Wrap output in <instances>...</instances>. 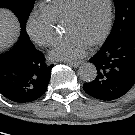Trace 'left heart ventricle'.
I'll return each instance as SVG.
<instances>
[{"instance_id":"obj_1","label":"left heart ventricle","mask_w":135,"mask_h":135,"mask_svg":"<svg viewBox=\"0 0 135 135\" xmlns=\"http://www.w3.org/2000/svg\"><path fill=\"white\" fill-rule=\"evenodd\" d=\"M107 14V0H83L77 17L63 24L64 33L75 35L90 45L104 31Z\"/></svg>"}]
</instances>
